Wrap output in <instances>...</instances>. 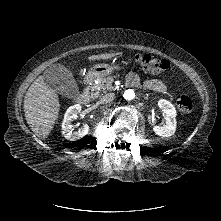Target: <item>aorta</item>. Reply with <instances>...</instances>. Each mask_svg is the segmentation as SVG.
<instances>
[{
  "instance_id": "1",
  "label": "aorta",
  "mask_w": 221,
  "mask_h": 221,
  "mask_svg": "<svg viewBox=\"0 0 221 221\" xmlns=\"http://www.w3.org/2000/svg\"><path fill=\"white\" fill-rule=\"evenodd\" d=\"M135 97V93L133 91H127L125 94L126 99H133Z\"/></svg>"
}]
</instances>
